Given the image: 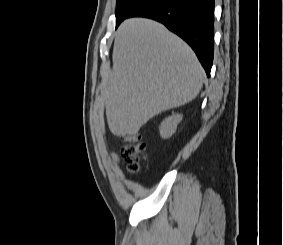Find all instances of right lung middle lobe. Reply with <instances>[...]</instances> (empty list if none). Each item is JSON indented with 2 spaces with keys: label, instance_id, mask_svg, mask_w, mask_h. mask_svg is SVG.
Returning <instances> with one entry per match:
<instances>
[{
  "label": "right lung middle lobe",
  "instance_id": "1",
  "mask_svg": "<svg viewBox=\"0 0 283 245\" xmlns=\"http://www.w3.org/2000/svg\"><path fill=\"white\" fill-rule=\"evenodd\" d=\"M147 0H117L116 26Z\"/></svg>",
  "mask_w": 283,
  "mask_h": 245
}]
</instances>
